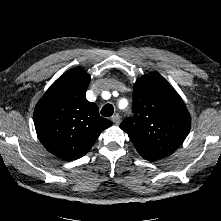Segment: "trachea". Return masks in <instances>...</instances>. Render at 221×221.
<instances>
[{
  "label": "trachea",
  "mask_w": 221,
  "mask_h": 221,
  "mask_svg": "<svg viewBox=\"0 0 221 221\" xmlns=\"http://www.w3.org/2000/svg\"><path fill=\"white\" fill-rule=\"evenodd\" d=\"M114 112V107L111 104H106L101 109V115L104 117H111Z\"/></svg>",
  "instance_id": "obj_1"
}]
</instances>
